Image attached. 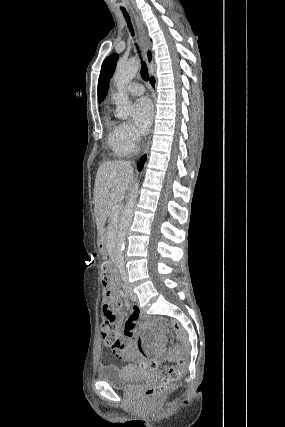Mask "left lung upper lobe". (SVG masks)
Returning <instances> with one entry per match:
<instances>
[{"mask_svg": "<svg viewBox=\"0 0 285 427\" xmlns=\"http://www.w3.org/2000/svg\"><path fill=\"white\" fill-rule=\"evenodd\" d=\"M118 55L112 54L107 57L101 66V72L98 80V99L101 102L107 94L109 88V79L112 76L116 63L118 61Z\"/></svg>", "mask_w": 285, "mask_h": 427, "instance_id": "obj_1", "label": "left lung upper lobe"}]
</instances>
